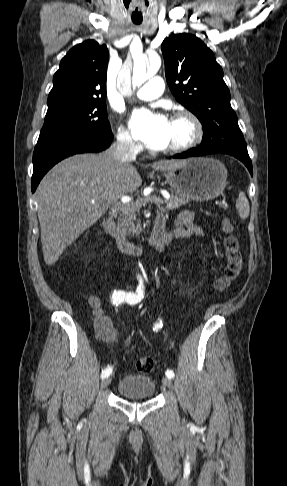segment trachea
Returning a JSON list of instances; mask_svg holds the SVG:
<instances>
[{
  "mask_svg": "<svg viewBox=\"0 0 287 486\" xmlns=\"http://www.w3.org/2000/svg\"><path fill=\"white\" fill-rule=\"evenodd\" d=\"M134 23H135V24H140V23H141V21H139V22H138V21H135Z\"/></svg>",
  "mask_w": 287,
  "mask_h": 486,
  "instance_id": "1",
  "label": "trachea"
}]
</instances>
